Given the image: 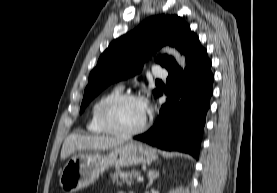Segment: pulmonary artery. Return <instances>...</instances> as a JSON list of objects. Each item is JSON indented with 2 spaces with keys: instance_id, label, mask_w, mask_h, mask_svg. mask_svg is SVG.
<instances>
[{
  "instance_id": "pulmonary-artery-1",
  "label": "pulmonary artery",
  "mask_w": 277,
  "mask_h": 193,
  "mask_svg": "<svg viewBox=\"0 0 277 193\" xmlns=\"http://www.w3.org/2000/svg\"><path fill=\"white\" fill-rule=\"evenodd\" d=\"M153 75L156 78H166L168 73L164 69H156V70H154ZM120 87H122V85Z\"/></svg>"
}]
</instances>
